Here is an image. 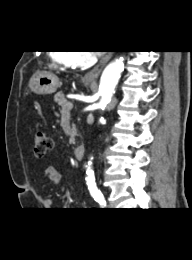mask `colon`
<instances>
[{"mask_svg":"<svg viewBox=\"0 0 192 260\" xmlns=\"http://www.w3.org/2000/svg\"><path fill=\"white\" fill-rule=\"evenodd\" d=\"M34 153L37 157H43L51 147L50 138L40 129L32 131Z\"/></svg>","mask_w":192,"mask_h":260,"instance_id":"colon-1","label":"colon"}]
</instances>
